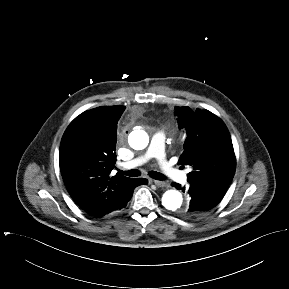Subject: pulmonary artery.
<instances>
[{"instance_id": "pulmonary-artery-1", "label": "pulmonary artery", "mask_w": 289, "mask_h": 289, "mask_svg": "<svg viewBox=\"0 0 289 289\" xmlns=\"http://www.w3.org/2000/svg\"><path fill=\"white\" fill-rule=\"evenodd\" d=\"M151 158H155L158 161L160 169L162 170L163 174L168 178L177 182H184L186 180V173L175 168L167 160L165 154V135L161 131L155 133L152 136L150 145L143 155L125 163L123 167L126 169L134 168L136 166L144 164Z\"/></svg>"}]
</instances>
